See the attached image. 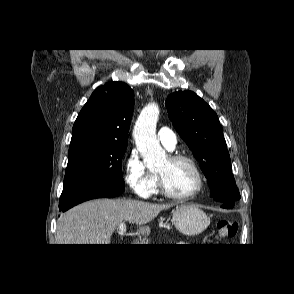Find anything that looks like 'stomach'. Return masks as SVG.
<instances>
[{"instance_id": "stomach-1", "label": "stomach", "mask_w": 294, "mask_h": 294, "mask_svg": "<svg viewBox=\"0 0 294 294\" xmlns=\"http://www.w3.org/2000/svg\"><path fill=\"white\" fill-rule=\"evenodd\" d=\"M173 223L184 235L194 236L202 233L209 225L207 215L196 205H182L173 213Z\"/></svg>"}]
</instances>
